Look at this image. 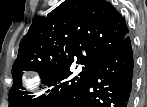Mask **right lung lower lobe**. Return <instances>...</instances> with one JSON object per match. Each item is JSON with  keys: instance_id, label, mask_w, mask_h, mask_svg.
Wrapping results in <instances>:
<instances>
[{"instance_id": "right-lung-lower-lobe-1", "label": "right lung lower lobe", "mask_w": 147, "mask_h": 107, "mask_svg": "<svg viewBox=\"0 0 147 107\" xmlns=\"http://www.w3.org/2000/svg\"><path fill=\"white\" fill-rule=\"evenodd\" d=\"M133 81V50L127 35L95 66L86 82L55 107H130Z\"/></svg>"}]
</instances>
